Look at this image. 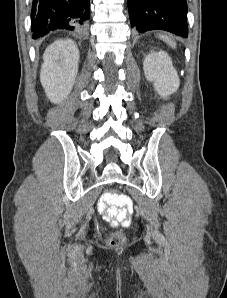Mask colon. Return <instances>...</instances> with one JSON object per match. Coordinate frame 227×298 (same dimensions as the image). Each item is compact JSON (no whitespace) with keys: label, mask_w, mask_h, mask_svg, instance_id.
Returning <instances> with one entry per match:
<instances>
[{"label":"colon","mask_w":227,"mask_h":298,"mask_svg":"<svg viewBox=\"0 0 227 298\" xmlns=\"http://www.w3.org/2000/svg\"><path fill=\"white\" fill-rule=\"evenodd\" d=\"M99 205L103 208V213H105L108 220L117 218L119 215L122 219H126L132 210L130 199L114 192L105 193L101 197ZM106 241L108 245L117 247L124 244L125 236L121 231H110L107 234Z\"/></svg>","instance_id":"colon-1"}]
</instances>
